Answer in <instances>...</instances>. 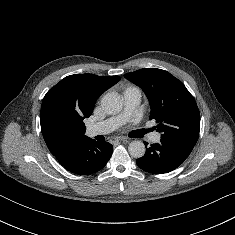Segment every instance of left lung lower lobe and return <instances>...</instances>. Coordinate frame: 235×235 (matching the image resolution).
Listing matches in <instances>:
<instances>
[{
  "mask_svg": "<svg viewBox=\"0 0 235 235\" xmlns=\"http://www.w3.org/2000/svg\"><path fill=\"white\" fill-rule=\"evenodd\" d=\"M193 147L194 145L185 142L161 139L160 143L146 148L145 155L137 159L136 163L146 172L167 173L182 164Z\"/></svg>",
  "mask_w": 235,
  "mask_h": 235,
  "instance_id": "obj_1",
  "label": "left lung lower lobe"
}]
</instances>
